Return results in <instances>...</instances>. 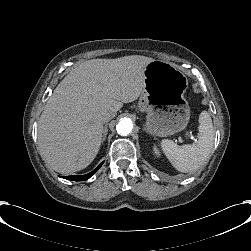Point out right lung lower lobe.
<instances>
[{
    "label": "right lung lower lobe",
    "mask_w": 251,
    "mask_h": 251,
    "mask_svg": "<svg viewBox=\"0 0 251 251\" xmlns=\"http://www.w3.org/2000/svg\"><path fill=\"white\" fill-rule=\"evenodd\" d=\"M103 162L100 163L93 171H91L90 173L86 174V175H82V176H63V178L68 179V180H73V181H84L89 179L91 176L94 175V173L102 166Z\"/></svg>",
    "instance_id": "98d812e1"
}]
</instances>
